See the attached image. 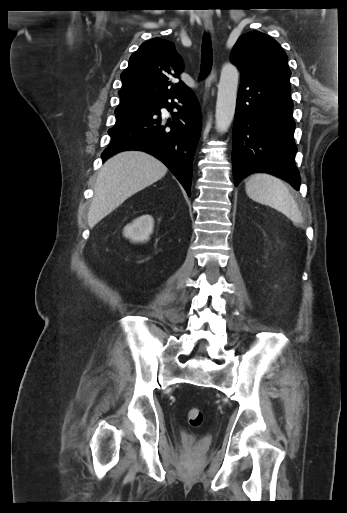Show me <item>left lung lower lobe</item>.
Listing matches in <instances>:
<instances>
[{
  "label": "left lung lower lobe",
  "mask_w": 347,
  "mask_h": 513,
  "mask_svg": "<svg viewBox=\"0 0 347 513\" xmlns=\"http://www.w3.org/2000/svg\"><path fill=\"white\" fill-rule=\"evenodd\" d=\"M292 108L289 81L241 77L233 127L235 186L250 173L266 172L299 190Z\"/></svg>",
  "instance_id": "0a47b994"
}]
</instances>
